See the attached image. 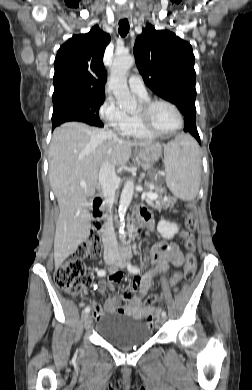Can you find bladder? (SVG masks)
<instances>
[{
    "label": "bladder",
    "instance_id": "obj_1",
    "mask_svg": "<svg viewBox=\"0 0 252 390\" xmlns=\"http://www.w3.org/2000/svg\"><path fill=\"white\" fill-rule=\"evenodd\" d=\"M95 333L122 350L141 347L152 337V329L147 323L128 317H101L95 325Z\"/></svg>",
    "mask_w": 252,
    "mask_h": 390
}]
</instances>
